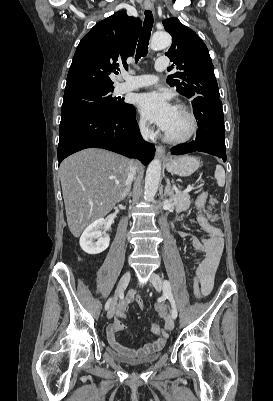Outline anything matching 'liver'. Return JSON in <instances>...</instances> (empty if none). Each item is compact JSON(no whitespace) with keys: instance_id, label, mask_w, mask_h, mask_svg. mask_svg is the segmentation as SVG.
Wrapping results in <instances>:
<instances>
[{"instance_id":"1","label":"liver","mask_w":273,"mask_h":401,"mask_svg":"<svg viewBox=\"0 0 273 401\" xmlns=\"http://www.w3.org/2000/svg\"><path fill=\"white\" fill-rule=\"evenodd\" d=\"M130 160L103 148L71 154L59 168L68 227L80 237L85 227L120 203Z\"/></svg>"}]
</instances>
